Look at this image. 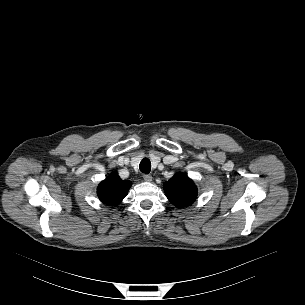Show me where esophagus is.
<instances>
[{
	"mask_svg": "<svg viewBox=\"0 0 305 305\" xmlns=\"http://www.w3.org/2000/svg\"><path fill=\"white\" fill-rule=\"evenodd\" d=\"M143 179L146 181V182H151L152 181V176L150 174H144L143 175Z\"/></svg>",
	"mask_w": 305,
	"mask_h": 305,
	"instance_id": "1",
	"label": "esophagus"
}]
</instances>
